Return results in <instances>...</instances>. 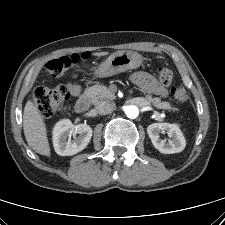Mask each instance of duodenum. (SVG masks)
Instances as JSON below:
<instances>
[{
    "mask_svg": "<svg viewBox=\"0 0 225 225\" xmlns=\"http://www.w3.org/2000/svg\"><path fill=\"white\" fill-rule=\"evenodd\" d=\"M90 105L91 98L89 96H82L77 100L75 109L78 113H85L90 108Z\"/></svg>",
    "mask_w": 225,
    "mask_h": 225,
    "instance_id": "duodenum-1",
    "label": "duodenum"
}]
</instances>
